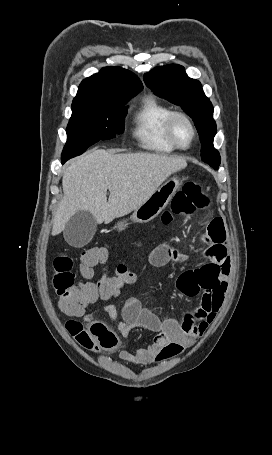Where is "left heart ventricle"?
<instances>
[{
	"mask_svg": "<svg viewBox=\"0 0 272 455\" xmlns=\"http://www.w3.org/2000/svg\"><path fill=\"white\" fill-rule=\"evenodd\" d=\"M173 130L177 142L182 146L188 145L192 138V132L188 124L182 119H177L174 122Z\"/></svg>",
	"mask_w": 272,
	"mask_h": 455,
	"instance_id": "1",
	"label": "left heart ventricle"
}]
</instances>
